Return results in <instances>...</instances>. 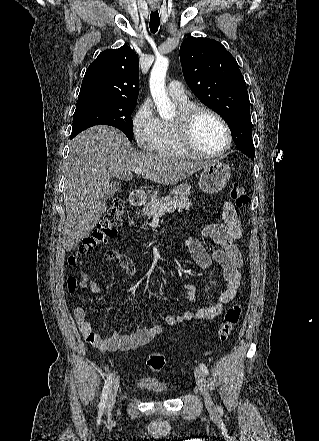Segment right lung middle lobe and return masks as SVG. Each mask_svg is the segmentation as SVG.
<instances>
[{"label":"right lung middle lobe","mask_w":319,"mask_h":441,"mask_svg":"<svg viewBox=\"0 0 319 441\" xmlns=\"http://www.w3.org/2000/svg\"><path fill=\"white\" fill-rule=\"evenodd\" d=\"M136 102L108 99H82L77 101L73 116L71 139L81 131L94 125H110L123 131L133 139L131 114Z\"/></svg>","instance_id":"right-lung-middle-lobe-1"}]
</instances>
